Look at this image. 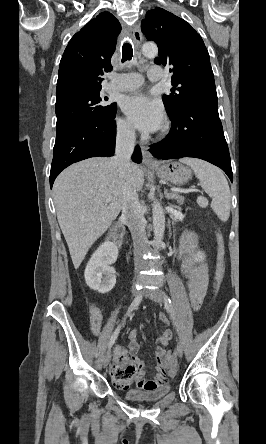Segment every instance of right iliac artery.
<instances>
[{
  "mask_svg": "<svg viewBox=\"0 0 266 444\" xmlns=\"http://www.w3.org/2000/svg\"><path fill=\"white\" fill-rule=\"evenodd\" d=\"M142 298H143V293H140V294L134 299V301L132 302L131 306L129 307V309H128L127 313H126V316H128V315H129L134 309H136V308L139 306V304H140ZM124 319H125V318H124ZM124 319H123V321H124ZM123 321H122V322H123ZM122 324H123V323H122ZM122 324H120V325L115 329L114 333L112 334V336H111V338H110V341H109V343H108V347H109V348H111V347L113 346V344L115 343V341H116V339H117V337H118V334H119V332H120V329H121Z\"/></svg>",
  "mask_w": 266,
  "mask_h": 444,
  "instance_id": "82829eb1",
  "label": "right iliac artery"
}]
</instances>
